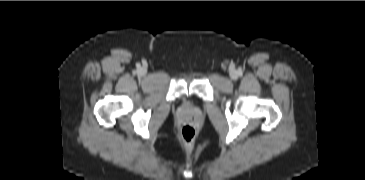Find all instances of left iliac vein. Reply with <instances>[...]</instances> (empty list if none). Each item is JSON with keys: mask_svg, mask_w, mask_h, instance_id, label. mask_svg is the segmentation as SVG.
Returning <instances> with one entry per match:
<instances>
[{"mask_svg": "<svg viewBox=\"0 0 365 180\" xmlns=\"http://www.w3.org/2000/svg\"><path fill=\"white\" fill-rule=\"evenodd\" d=\"M230 77L232 78V79H236L237 77H238V74H237V72L236 71H231L230 72Z\"/></svg>", "mask_w": 365, "mask_h": 180, "instance_id": "1", "label": "left iliac vein"}]
</instances>
